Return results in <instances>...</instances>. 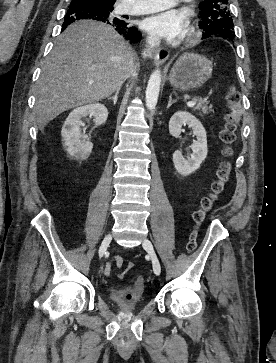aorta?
I'll return each instance as SVG.
<instances>
[{"instance_id":"obj_1","label":"aorta","mask_w":276,"mask_h":363,"mask_svg":"<svg viewBox=\"0 0 276 363\" xmlns=\"http://www.w3.org/2000/svg\"><path fill=\"white\" fill-rule=\"evenodd\" d=\"M161 84V72L159 69L155 70L148 81L146 88V106L149 110H154L159 96Z\"/></svg>"}]
</instances>
